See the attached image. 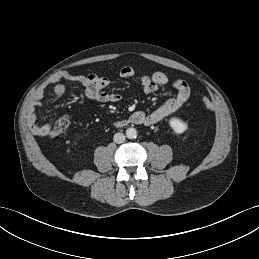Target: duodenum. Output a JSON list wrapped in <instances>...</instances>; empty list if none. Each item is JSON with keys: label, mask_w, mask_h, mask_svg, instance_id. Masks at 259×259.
<instances>
[{"label": "duodenum", "mask_w": 259, "mask_h": 259, "mask_svg": "<svg viewBox=\"0 0 259 259\" xmlns=\"http://www.w3.org/2000/svg\"><path fill=\"white\" fill-rule=\"evenodd\" d=\"M129 122H130V120L121 121V122H119V125H126Z\"/></svg>", "instance_id": "1"}]
</instances>
